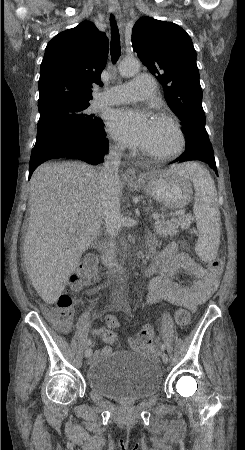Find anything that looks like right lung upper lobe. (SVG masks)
<instances>
[{"label": "right lung upper lobe", "mask_w": 245, "mask_h": 450, "mask_svg": "<svg viewBox=\"0 0 245 450\" xmlns=\"http://www.w3.org/2000/svg\"><path fill=\"white\" fill-rule=\"evenodd\" d=\"M107 53L105 33L88 21L56 35L48 43L40 67L38 108L89 104L91 88L101 84Z\"/></svg>", "instance_id": "1"}]
</instances>
